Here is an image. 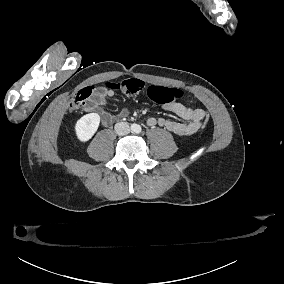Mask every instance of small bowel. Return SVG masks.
<instances>
[{
	"label": "small bowel",
	"mask_w": 284,
	"mask_h": 284,
	"mask_svg": "<svg viewBox=\"0 0 284 284\" xmlns=\"http://www.w3.org/2000/svg\"><path fill=\"white\" fill-rule=\"evenodd\" d=\"M106 94L108 96H113L114 92L112 90H108L106 91ZM105 104L106 101L104 95L99 93L89 101L86 110H94ZM164 109L177 115L178 117L183 119L184 122L149 118L147 120V125L149 127H154L156 125L164 126L169 132L181 137H188L195 134L200 129L203 118L206 114V112L201 108L186 107L180 103L175 102L165 104ZM128 114L129 110L123 109L118 116L120 118H125L128 116ZM101 118L103 123H107L112 120L113 116L108 112H102Z\"/></svg>",
	"instance_id": "1"
}]
</instances>
